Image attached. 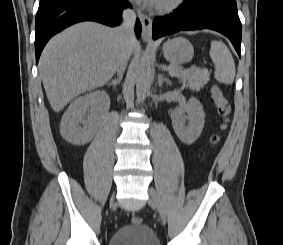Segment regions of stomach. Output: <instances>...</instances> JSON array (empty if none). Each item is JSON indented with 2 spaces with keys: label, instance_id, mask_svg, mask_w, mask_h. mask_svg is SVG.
Instances as JSON below:
<instances>
[{
  "label": "stomach",
  "instance_id": "stomach-1",
  "mask_svg": "<svg viewBox=\"0 0 283 245\" xmlns=\"http://www.w3.org/2000/svg\"><path fill=\"white\" fill-rule=\"evenodd\" d=\"M162 51L165 59L175 65L189 62L194 56L192 44L183 37L168 40L163 44Z\"/></svg>",
  "mask_w": 283,
  "mask_h": 245
}]
</instances>
